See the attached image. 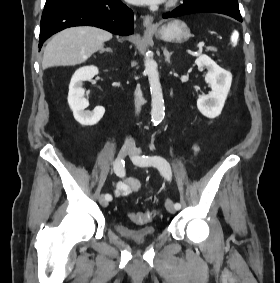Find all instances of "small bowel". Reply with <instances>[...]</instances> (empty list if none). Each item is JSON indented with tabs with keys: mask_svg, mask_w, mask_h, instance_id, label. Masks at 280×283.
<instances>
[{
	"mask_svg": "<svg viewBox=\"0 0 280 283\" xmlns=\"http://www.w3.org/2000/svg\"><path fill=\"white\" fill-rule=\"evenodd\" d=\"M193 151L195 154L199 152V146L197 144L193 146ZM140 189L141 183L134 177L129 176L116 184L115 195L117 197H125L140 191Z\"/></svg>",
	"mask_w": 280,
	"mask_h": 283,
	"instance_id": "1",
	"label": "small bowel"
}]
</instances>
